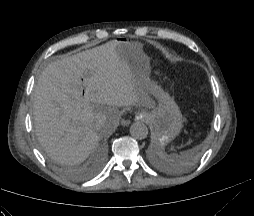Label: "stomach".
Instances as JSON below:
<instances>
[{"mask_svg":"<svg viewBox=\"0 0 254 216\" xmlns=\"http://www.w3.org/2000/svg\"><path fill=\"white\" fill-rule=\"evenodd\" d=\"M119 51L130 73L138 78L149 75V58L140 45L129 41H118ZM150 94L159 99V104L151 111H143L141 115L154 128V138L162 146L168 144L179 135L183 117L174 99L161 86L150 80L146 86Z\"/></svg>","mask_w":254,"mask_h":216,"instance_id":"0dacf381","label":"stomach"}]
</instances>
